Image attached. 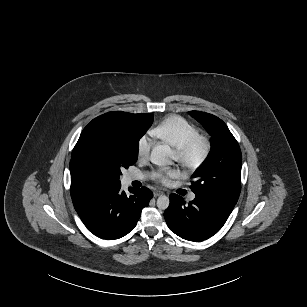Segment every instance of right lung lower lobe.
Here are the masks:
<instances>
[{
    "mask_svg": "<svg viewBox=\"0 0 307 307\" xmlns=\"http://www.w3.org/2000/svg\"><path fill=\"white\" fill-rule=\"evenodd\" d=\"M120 188L121 184H106L73 199L85 226L100 238L118 239L132 231L142 209L153 197L146 187L130 188V195L121 192Z\"/></svg>",
    "mask_w": 307,
    "mask_h": 307,
    "instance_id": "98d812e1",
    "label": "right lung lower lobe"
}]
</instances>
